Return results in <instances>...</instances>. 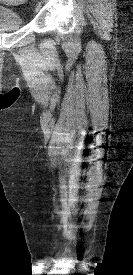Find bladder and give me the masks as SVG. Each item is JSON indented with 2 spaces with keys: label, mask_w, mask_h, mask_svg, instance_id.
<instances>
[{
  "label": "bladder",
  "mask_w": 133,
  "mask_h": 275,
  "mask_svg": "<svg viewBox=\"0 0 133 275\" xmlns=\"http://www.w3.org/2000/svg\"><path fill=\"white\" fill-rule=\"evenodd\" d=\"M19 11L0 5V31H14L24 26Z\"/></svg>",
  "instance_id": "1"
}]
</instances>
